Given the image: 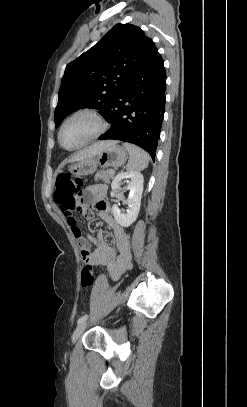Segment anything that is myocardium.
Listing matches in <instances>:
<instances>
[{
    "instance_id": "obj_1",
    "label": "myocardium",
    "mask_w": 247,
    "mask_h": 407,
    "mask_svg": "<svg viewBox=\"0 0 247 407\" xmlns=\"http://www.w3.org/2000/svg\"><path fill=\"white\" fill-rule=\"evenodd\" d=\"M81 115H86V116L93 118L98 125V129L93 135H91L89 138H87L80 145L73 147V148H66L62 145V142H61V134H62L63 128L71 119H73L77 116H81ZM107 129H108V123L104 119V117L101 115L100 112H98L97 110L92 109V108H80V109L72 112L62 121V123L60 124V127L58 129L57 139H58V143H59L60 147H62L64 150L76 151V150H79V149L85 147L86 145L90 144L91 142L95 141L99 137H101L107 131Z\"/></svg>"
}]
</instances>
